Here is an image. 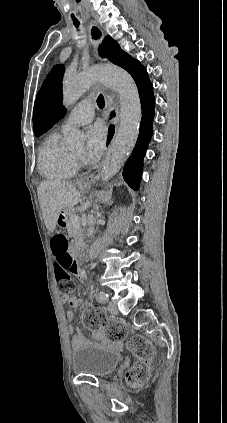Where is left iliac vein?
Listing matches in <instances>:
<instances>
[{
	"label": "left iliac vein",
	"mask_w": 227,
	"mask_h": 423,
	"mask_svg": "<svg viewBox=\"0 0 227 423\" xmlns=\"http://www.w3.org/2000/svg\"><path fill=\"white\" fill-rule=\"evenodd\" d=\"M108 311L113 314V315H117L118 314V308L117 306H115L113 303L109 302L108 303V307H107Z\"/></svg>",
	"instance_id": "left-iliac-vein-1"
}]
</instances>
